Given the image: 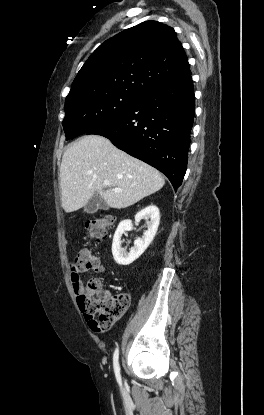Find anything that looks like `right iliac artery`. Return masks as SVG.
<instances>
[{"label": "right iliac artery", "instance_id": "obj_1", "mask_svg": "<svg viewBox=\"0 0 264 415\" xmlns=\"http://www.w3.org/2000/svg\"><path fill=\"white\" fill-rule=\"evenodd\" d=\"M118 359H119V348L117 347L113 354V367H114V372H115L117 382L119 383V385H121L122 382H121L120 365H119Z\"/></svg>", "mask_w": 264, "mask_h": 415}]
</instances>
